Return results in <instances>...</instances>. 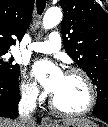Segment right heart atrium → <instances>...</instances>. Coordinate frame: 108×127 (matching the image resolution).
Segmentation results:
<instances>
[{
  "label": "right heart atrium",
  "mask_w": 108,
  "mask_h": 127,
  "mask_svg": "<svg viewBox=\"0 0 108 127\" xmlns=\"http://www.w3.org/2000/svg\"><path fill=\"white\" fill-rule=\"evenodd\" d=\"M20 89L22 97L28 101H40L43 99V93L35 82H33L26 73L22 74Z\"/></svg>",
  "instance_id": "obj_1"
}]
</instances>
